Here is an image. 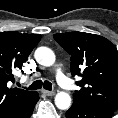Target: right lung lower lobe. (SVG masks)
Returning <instances> with one entry per match:
<instances>
[{"label": "right lung lower lobe", "mask_w": 118, "mask_h": 118, "mask_svg": "<svg viewBox=\"0 0 118 118\" xmlns=\"http://www.w3.org/2000/svg\"><path fill=\"white\" fill-rule=\"evenodd\" d=\"M34 106L22 118H29L33 112Z\"/></svg>", "instance_id": "obj_1"}]
</instances>
